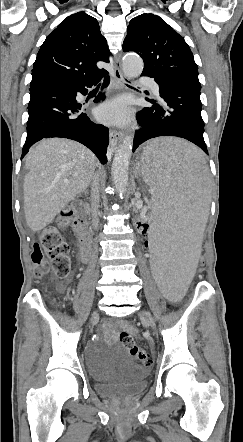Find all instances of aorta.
<instances>
[{"label": "aorta", "mask_w": 243, "mask_h": 442, "mask_svg": "<svg viewBox=\"0 0 243 442\" xmlns=\"http://www.w3.org/2000/svg\"><path fill=\"white\" fill-rule=\"evenodd\" d=\"M123 71L128 77H138L144 67L142 59L134 54H127L122 61ZM133 148V136L126 135L118 147L113 163L112 178L117 194L122 197L125 195L128 186V170Z\"/></svg>", "instance_id": "obj_1"}]
</instances>
